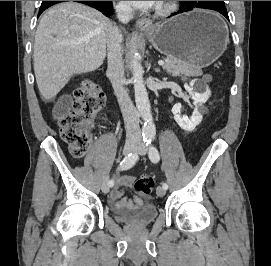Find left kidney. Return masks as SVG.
Returning <instances> with one entry per match:
<instances>
[{
  "label": "left kidney",
  "instance_id": "obj_1",
  "mask_svg": "<svg viewBox=\"0 0 271 266\" xmlns=\"http://www.w3.org/2000/svg\"><path fill=\"white\" fill-rule=\"evenodd\" d=\"M189 94L194 100L195 108L190 118L181 115V104H175L172 108L174 119L181 129L186 132H192L197 125L202 121V114L200 107L208 100L210 91L207 90L204 93L194 92L192 88H189Z\"/></svg>",
  "mask_w": 271,
  "mask_h": 266
}]
</instances>
